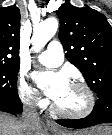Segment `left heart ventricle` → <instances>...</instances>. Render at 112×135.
I'll use <instances>...</instances> for the list:
<instances>
[{
  "label": "left heart ventricle",
  "mask_w": 112,
  "mask_h": 135,
  "mask_svg": "<svg viewBox=\"0 0 112 135\" xmlns=\"http://www.w3.org/2000/svg\"><path fill=\"white\" fill-rule=\"evenodd\" d=\"M55 102L60 108L66 111L78 112L85 107L86 96L81 88L69 84L66 91Z\"/></svg>",
  "instance_id": "1"
}]
</instances>
